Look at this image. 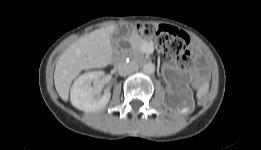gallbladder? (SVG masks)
I'll list each match as a JSON object with an SVG mask.
<instances>
[{
  "label": "gallbladder",
  "instance_id": "gallbladder-1",
  "mask_svg": "<svg viewBox=\"0 0 261 150\" xmlns=\"http://www.w3.org/2000/svg\"><path fill=\"white\" fill-rule=\"evenodd\" d=\"M120 33H115L112 38H111V42L114 44L116 42V40L119 38Z\"/></svg>",
  "mask_w": 261,
  "mask_h": 150
}]
</instances>
